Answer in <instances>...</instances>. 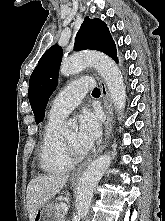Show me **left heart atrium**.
<instances>
[{"label":"left heart atrium","mask_w":165,"mask_h":221,"mask_svg":"<svg viewBox=\"0 0 165 221\" xmlns=\"http://www.w3.org/2000/svg\"><path fill=\"white\" fill-rule=\"evenodd\" d=\"M78 121V141L85 150H89L101 134L100 116L96 112L84 109L79 114Z\"/></svg>","instance_id":"39dd6f15"}]
</instances>
